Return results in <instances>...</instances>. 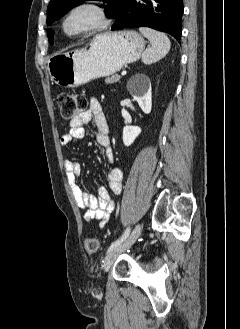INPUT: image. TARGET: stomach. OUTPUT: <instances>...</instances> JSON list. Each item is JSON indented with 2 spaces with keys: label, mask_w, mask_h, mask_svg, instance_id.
Masks as SVG:
<instances>
[{
  "label": "stomach",
  "mask_w": 240,
  "mask_h": 329,
  "mask_svg": "<svg viewBox=\"0 0 240 329\" xmlns=\"http://www.w3.org/2000/svg\"><path fill=\"white\" fill-rule=\"evenodd\" d=\"M144 47V39L136 31L102 33L85 48L51 55L47 67L56 84L75 88L113 75L124 65L137 61Z\"/></svg>",
  "instance_id": "1"
}]
</instances>
